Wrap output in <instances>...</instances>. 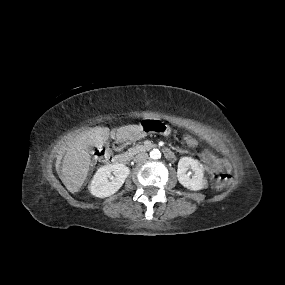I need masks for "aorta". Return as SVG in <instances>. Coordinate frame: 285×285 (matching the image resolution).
I'll return each mask as SVG.
<instances>
[{"instance_id":"obj_1","label":"aorta","mask_w":285,"mask_h":285,"mask_svg":"<svg viewBox=\"0 0 285 285\" xmlns=\"http://www.w3.org/2000/svg\"><path fill=\"white\" fill-rule=\"evenodd\" d=\"M150 157L152 159H159L161 158V152L158 150V149H153L151 152H150Z\"/></svg>"}]
</instances>
